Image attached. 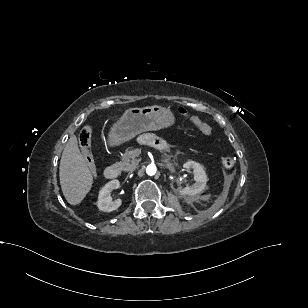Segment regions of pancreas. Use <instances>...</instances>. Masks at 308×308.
Returning <instances> with one entry per match:
<instances>
[{"mask_svg":"<svg viewBox=\"0 0 308 308\" xmlns=\"http://www.w3.org/2000/svg\"><path fill=\"white\" fill-rule=\"evenodd\" d=\"M140 162V159L136 157V154L133 149H127L122 157L120 162H116L115 166L119 167L123 171L134 170L137 164Z\"/></svg>","mask_w":308,"mask_h":308,"instance_id":"cf45deb5","label":"pancreas"}]
</instances>
